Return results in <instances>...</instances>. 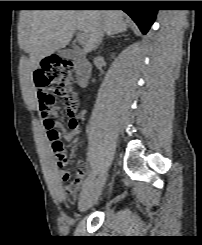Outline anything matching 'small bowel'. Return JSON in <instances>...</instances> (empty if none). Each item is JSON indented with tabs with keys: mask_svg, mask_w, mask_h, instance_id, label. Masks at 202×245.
<instances>
[{
	"mask_svg": "<svg viewBox=\"0 0 202 245\" xmlns=\"http://www.w3.org/2000/svg\"><path fill=\"white\" fill-rule=\"evenodd\" d=\"M59 112V108L57 106L53 105L52 108V114L54 116H57ZM46 130H47V139L52 147L51 144V140L48 137V133L50 131H56L60 137V135L62 134L63 137L66 140H70L75 136V131L77 130V126L72 127V130H63V126L62 123L58 120H55L52 124V126L47 127L45 126ZM53 152H54V157H55V165H56V172L58 175L59 180L62 183H67L70 178L72 177V181L69 185H66L64 187V191L66 193V195L69 198H72L78 187L82 184L83 180L89 175V167L88 165H84L83 167H81L75 175H71L69 172L65 171L64 168L68 165V156L67 153L63 150H56L52 147Z\"/></svg>",
	"mask_w": 202,
	"mask_h": 245,
	"instance_id": "obj_1",
	"label": "small bowel"
}]
</instances>
